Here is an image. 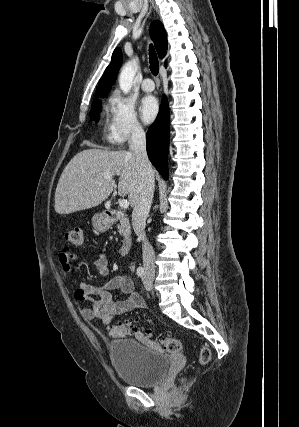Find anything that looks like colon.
<instances>
[{"label":"colon","instance_id":"1","mask_svg":"<svg viewBox=\"0 0 299 427\" xmlns=\"http://www.w3.org/2000/svg\"><path fill=\"white\" fill-rule=\"evenodd\" d=\"M83 240L82 228L79 226L73 227L66 231L65 241L67 244L77 247L80 246ZM138 330L134 327L130 320L121 321L110 328V333L116 337L128 336L137 334ZM147 336H151V332L147 331ZM163 349L169 353H180L182 351V342L176 338L163 337L160 339ZM211 358V351L207 347H203L199 354V362L206 364Z\"/></svg>","mask_w":299,"mask_h":427}]
</instances>
